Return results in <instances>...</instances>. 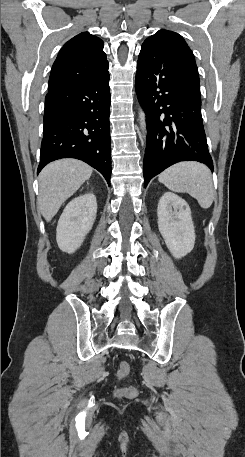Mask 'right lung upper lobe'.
<instances>
[{"instance_id":"obj_1","label":"right lung upper lobe","mask_w":245,"mask_h":457,"mask_svg":"<svg viewBox=\"0 0 245 457\" xmlns=\"http://www.w3.org/2000/svg\"><path fill=\"white\" fill-rule=\"evenodd\" d=\"M109 63L103 52V41L88 32L69 40L60 50L51 70L48 90L72 81L102 75Z\"/></svg>"}]
</instances>
